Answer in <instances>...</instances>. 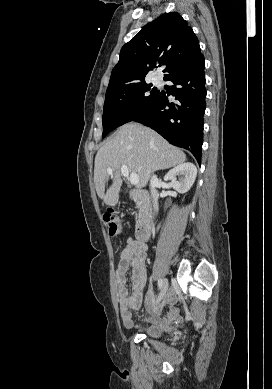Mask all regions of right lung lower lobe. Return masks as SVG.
<instances>
[{
  "label": "right lung lower lobe",
  "mask_w": 272,
  "mask_h": 389,
  "mask_svg": "<svg viewBox=\"0 0 272 389\" xmlns=\"http://www.w3.org/2000/svg\"><path fill=\"white\" fill-rule=\"evenodd\" d=\"M204 63L202 55L165 78L174 84L167 92L175 96L176 103H168L160 92L156 100L132 120L151 127L171 144L189 150L199 164L206 108Z\"/></svg>",
  "instance_id": "obj_1"
}]
</instances>
